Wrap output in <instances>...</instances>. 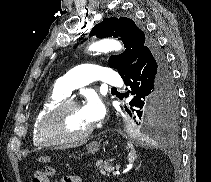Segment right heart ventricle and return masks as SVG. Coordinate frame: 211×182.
Segmentation results:
<instances>
[{"mask_svg": "<svg viewBox=\"0 0 211 182\" xmlns=\"http://www.w3.org/2000/svg\"><path fill=\"white\" fill-rule=\"evenodd\" d=\"M66 96H64L62 93H60L57 89H54L45 99V101L42 103L40 109L38 110L37 114L35 115L32 127H31V138L32 142L35 146H41L42 143L38 139L37 135V129L39 126V123L41 119L44 117V115L52 109L56 104L64 100Z\"/></svg>", "mask_w": 211, "mask_h": 182, "instance_id": "right-heart-ventricle-1", "label": "right heart ventricle"}]
</instances>
